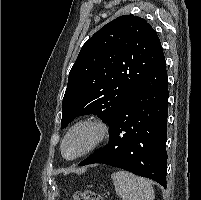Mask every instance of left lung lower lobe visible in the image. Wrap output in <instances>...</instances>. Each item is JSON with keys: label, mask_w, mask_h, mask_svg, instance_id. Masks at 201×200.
Listing matches in <instances>:
<instances>
[{"label": "left lung lower lobe", "mask_w": 201, "mask_h": 200, "mask_svg": "<svg viewBox=\"0 0 201 200\" xmlns=\"http://www.w3.org/2000/svg\"><path fill=\"white\" fill-rule=\"evenodd\" d=\"M168 97L163 55L116 110L109 123V143L78 166L107 164L166 188Z\"/></svg>", "instance_id": "1"}]
</instances>
